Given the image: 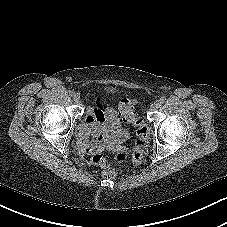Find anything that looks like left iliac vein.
Masks as SVG:
<instances>
[{
	"mask_svg": "<svg viewBox=\"0 0 227 227\" xmlns=\"http://www.w3.org/2000/svg\"><path fill=\"white\" fill-rule=\"evenodd\" d=\"M160 106H161L160 100H156V101L153 103V105H152L153 109H157V108H159Z\"/></svg>",
	"mask_w": 227,
	"mask_h": 227,
	"instance_id": "4c4485c4",
	"label": "left iliac vein"
}]
</instances>
